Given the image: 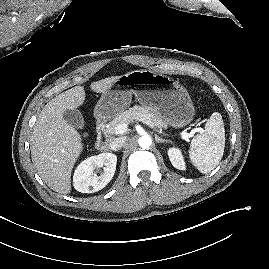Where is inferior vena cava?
<instances>
[{
  "label": "inferior vena cava",
  "mask_w": 269,
  "mask_h": 269,
  "mask_svg": "<svg viewBox=\"0 0 269 269\" xmlns=\"http://www.w3.org/2000/svg\"><path fill=\"white\" fill-rule=\"evenodd\" d=\"M125 141H126L125 137L115 138L110 142L109 147L111 150H114V151L119 150L120 148H122Z\"/></svg>",
  "instance_id": "obj_1"
}]
</instances>
